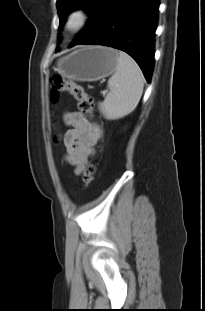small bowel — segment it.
<instances>
[{"mask_svg":"<svg viewBox=\"0 0 205 311\" xmlns=\"http://www.w3.org/2000/svg\"><path fill=\"white\" fill-rule=\"evenodd\" d=\"M64 122L69 127L63 137L65 160L80 173L88 157L103 136L102 128L91 122L81 111L64 114Z\"/></svg>","mask_w":205,"mask_h":311,"instance_id":"small-bowel-1","label":"small bowel"}]
</instances>
